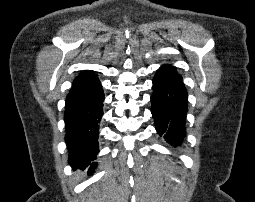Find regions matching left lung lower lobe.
I'll list each match as a JSON object with an SVG mask.
<instances>
[{
  "label": "left lung lower lobe",
  "mask_w": 255,
  "mask_h": 202,
  "mask_svg": "<svg viewBox=\"0 0 255 202\" xmlns=\"http://www.w3.org/2000/svg\"><path fill=\"white\" fill-rule=\"evenodd\" d=\"M151 113L160 136L173 146L183 142L185 116L187 113V91L181 80L158 71L153 79Z\"/></svg>",
  "instance_id": "0a47b994"
}]
</instances>
